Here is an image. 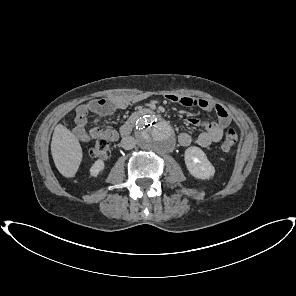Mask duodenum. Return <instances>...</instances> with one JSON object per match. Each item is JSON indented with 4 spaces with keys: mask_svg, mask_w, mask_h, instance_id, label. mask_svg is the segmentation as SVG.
Listing matches in <instances>:
<instances>
[{
    "mask_svg": "<svg viewBox=\"0 0 296 296\" xmlns=\"http://www.w3.org/2000/svg\"><path fill=\"white\" fill-rule=\"evenodd\" d=\"M153 114V111L149 108H143L140 109L136 112H134L129 118L128 120L122 125L121 129H120V134L122 137H127L133 130L136 121L145 116V115H151Z\"/></svg>",
    "mask_w": 296,
    "mask_h": 296,
    "instance_id": "duodenum-1",
    "label": "duodenum"
}]
</instances>
